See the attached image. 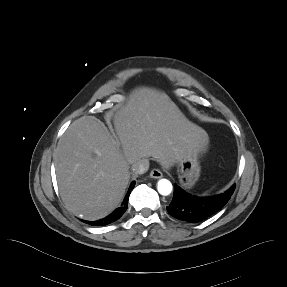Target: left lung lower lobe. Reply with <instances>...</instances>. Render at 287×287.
Here are the masks:
<instances>
[{"label": "left lung lower lobe", "mask_w": 287, "mask_h": 287, "mask_svg": "<svg viewBox=\"0 0 287 287\" xmlns=\"http://www.w3.org/2000/svg\"><path fill=\"white\" fill-rule=\"evenodd\" d=\"M235 184L225 193L213 197L191 196L175 184L174 195L167 211L176 219L200 222L216 213L230 199Z\"/></svg>", "instance_id": "left-lung-lower-lobe-1"}]
</instances>
